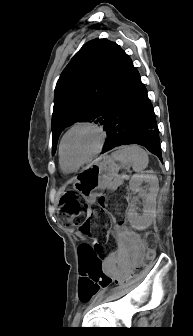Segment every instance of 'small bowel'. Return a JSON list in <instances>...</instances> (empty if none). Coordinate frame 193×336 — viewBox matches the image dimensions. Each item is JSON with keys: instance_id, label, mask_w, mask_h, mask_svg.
I'll return each instance as SVG.
<instances>
[{"instance_id": "obj_1", "label": "small bowel", "mask_w": 193, "mask_h": 336, "mask_svg": "<svg viewBox=\"0 0 193 336\" xmlns=\"http://www.w3.org/2000/svg\"><path fill=\"white\" fill-rule=\"evenodd\" d=\"M117 249L103 259L104 271L111 278L118 279L123 273L138 266L144 257V248L140 238L127 229L121 227L116 231ZM81 290L96 291V286L87 281L88 274L81 271Z\"/></svg>"}]
</instances>
